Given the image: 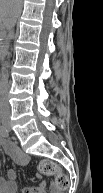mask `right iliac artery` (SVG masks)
<instances>
[{"instance_id": "82829eb1", "label": "right iliac artery", "mask_w": 103, "mask_h": 193, "mask_svg": "<svg viewBox=\"0 0 103 193\" xmlns=\"http://www.w3.org/2000/svg\"><path fill=\"white\" fill-rule=\"evenodd\" d=\"M0 134L3 137H8L9 135L7 128L3 125L0 127Z\"/></svg>"}]
</instances>
